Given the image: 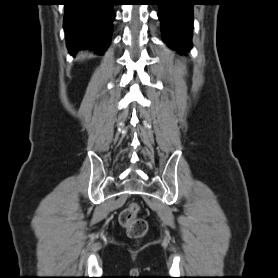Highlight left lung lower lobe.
Masks as SVG:
<instances>
[{
    "mask_svg": "<svg viewBox=\"0 0 278 278\" xmlns=\"http://www.w3.org/2000/svg\"><path fill=\"white\" fill-rule=\"evenodd\" d=\"M165 42L184 53L192 47L194 0H157Z\"/></svg>",
    "mask_w": 278,
    "mask_h": 278,
    "instance_id": "left-lung-lower-lobe-1",
    "label": "left lung lower lobe"
}]
</instances>
